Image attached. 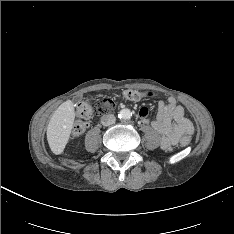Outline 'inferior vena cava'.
I'll list each match as a JSON object with an SVG mask.
<instances>
[{
	"instance_id": "1",
	"label": "inferior vena cava",
	"mask_w": 234,
	"mask_h": 234,
	"mask_svg": "<svg viewBox=\"0 0 234 234\" xmlns=\"http://www.w3.org/2000/svg\"><path fill=\"white\" fill-rule=\"evenodd\" d=\"M115 121H116V117L113 114H107L101 118V123L103 126L112 125L115 123Z\"/></svg>"
}]
</instances>
